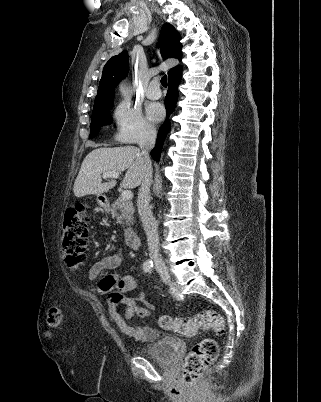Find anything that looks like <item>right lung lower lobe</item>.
Listing matches in <instances>:
<instances>
[{
    "mask_svg": "<svg viewBox=\"0 0 321 402\" xmlns=\"http://www.w3.org/2000/svg\"><path fill=\"white\" fill-rule=\"evenodd\" d=\"M180 80H181V71L169 77V89L165 98V107L167 111V116H169L171 112L174 111L175 109V105L178 99V85L180 83ZM169 130L170 126L168 124V118H167L166 122L163 124V126L160 128L158 132L156 146L151 151V156L156 161H159L160 159L164 139Z\"/></svg>",
    "mask_w": 321,
    "mask_h": 402,
    "instance_id": "1",
    "label": "right lung lower lobe"
}]
</instances>
